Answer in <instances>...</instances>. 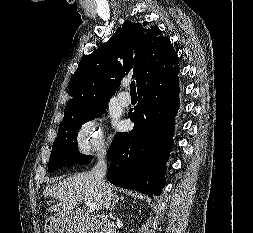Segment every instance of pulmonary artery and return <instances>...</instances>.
I'll return each mask as SVG.
<instances>
[{
    "mask_svg": "<svg viewBox=\"0 0 253 233\" xmlns=\"http://www.w3.org/2000/svg\"><path fill=\"white\" fill-rule=\"evenodd\" d=\"M117 99L119 104L123 107L129 106L131 103V98L127 92H122L121 94H119Z\"/></svg>",
    "mask_w": 253,
    "mask_h": 233,
    "instance_id": "obj_1",
    "label": "pulmonary artery"
}]
</instances>
